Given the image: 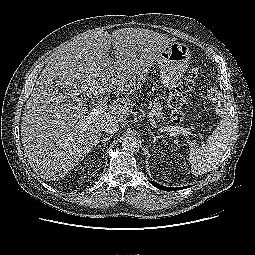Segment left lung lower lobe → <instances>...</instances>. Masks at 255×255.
<instances>
[{
  "mask_svg": "<svg viewBox=\"0 0 255 255\" xmlns=\"http://www.w3.org/2000/svg\"><path fill=\"white\" fill-rule=\"evenodd\" d=\"M151 184L153 186H155L156 188L158 189H161V190H164V191H173V190H177V189H182V188H185V187H180V188H171V187H166V186H162L156 182H151Z\"/></svg>",
  "mask_w": 255,
  "mask_h": 255,
  "instance_id": "1",
  "label": "left lung lower lobe"
}]
</instances>
